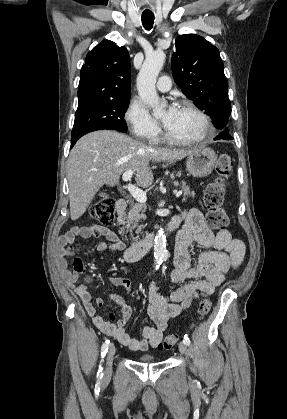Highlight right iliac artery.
I'll return each mask as SVG.
<instances>
[{
    "instance_id": "1",
    "label": "right iliac artery",
    "mask_w": 287,
    "mask_h": 419,
    "mask_svg": "<svg viewBox=\"0 0 287 419\" xmlns=\"http://www.w3.org/2000/svg\"><path fill=\"white\" fill-rule=\"evenodd\" d=\"M110 341L106 340L102 347H101V358H104V356L106 355L107 351H108V347H109ZM103 368L101 366H99V370L97 372V378L101 379L103 377V372H102Z\"/></svg>"
}]
</instances>
